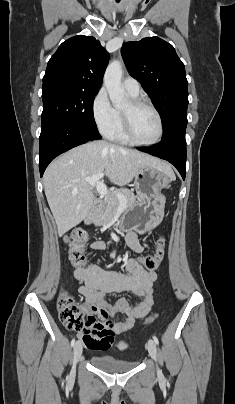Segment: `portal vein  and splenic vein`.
Wrapping results in <instances>:
<instances>
[{
    "label": "portal vein and splenic vein",
    "mask_w": 235,
    "mask_h": 404,
    "mask_svg": "<svg viewBox=\"0 0 235 404\" xmlns=\"http://www.w3.org/2000/svg\"><path fill=\"white\" fill-rule=\"evenodd\" d=\"M104 177V173H99L92 177L85 178V180L93 187H96L98 193L102 196L107 195L108 190L102 181H100ZM118 198L123 201V196L117 192Z\"/></svg>",
    "instance_id": "obj_1"
}]
</instances>
